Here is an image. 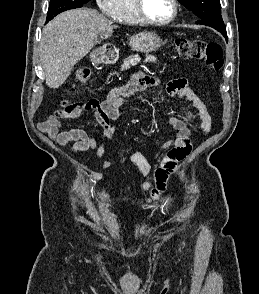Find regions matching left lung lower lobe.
I'll return each mask as SVG.
<instances>
[{
	"label": "left lung lower lobe",
	"instance_id": "0a47b994",
	"mask_svg": "<svg viewBox=\"0 0 259 294\" xmlns=\"http://www.w3.org/2000/svg\"><path fill=\"white\" fill-rule=\"evenodd\" d=\"M218 31L222 33V35L225 37L226 40H228L226 29H222V30H218Z\"/></svg>",
	"mask_w": 259,
	"mask_h": 294
}]
</instances>
